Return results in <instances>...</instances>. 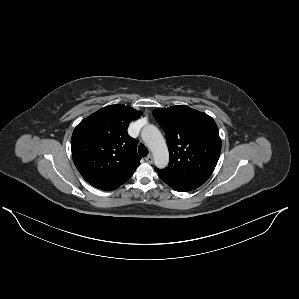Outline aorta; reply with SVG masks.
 <instances>
[{
	"label": "aorta",
	"mask_w": 299,
	"mask_h": 299,
	"mask_svg": "<svg viewBox=\"0 0 299 299\" xmlns=\"http://www.w3.org/2000/svg\"><path fill=\"white\" fill-rule=\"evenodd\" d=\"M141 135L153 154L155 166L165 168L169 163V152L161 132L157 127L148 125L143 128Z\"/></svg>",
	"instance_id": "aorta-1"
}]
</instances>
